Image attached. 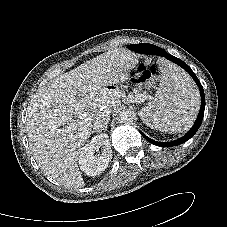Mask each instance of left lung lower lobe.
Here are the masks:
<instances>
[{"label": "left lung lower lobe", "instance_id": "obj_1", "mask_svg": "<svg viewBox=\"0 0 227 227\" xmlns=\"http://www.w3.org/2000/svg\"><path fill=\"white\" fill-rule=\"evenodd\" d=\"M128 48L135 52H138V53L155 54V55H160V56L166 57L167 59L171 60L172 62H174V63L178 64L179 66H181L182 68H184L193 77L194 81L197 83L199 90H200V94H201V108H200L198 117L195 121V124L193 125V127L190 129V131L186 135H184L182 138H180L178 140L171 141V142H157V141L152 140L151 138H149L148 136H146L145 134H143L140 131L141 135L147 141H149L150 143L157 145V146L171 147V146H176V145L186 142L191 137H193L194 134L197 132V130L199 129V127L202 123L203 116H204V109H205L204 90H203V87H202L200 81L198 80L197 76L191 70V68L186 63H184L182 60L168 54L163 49H161L155 45L142 43V44L130 45Z\"/></svg>", "mask_w": 227, "mask_h": 227}]
</instances>
